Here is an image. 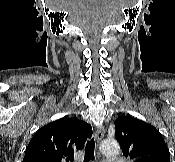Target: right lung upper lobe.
I'll return each instance as SVG.
<instances>
[{"label":"right lung upper lobe","mask_w":175,"mask_h":162,"mask_svg":"<svg viewBox=\"0 0 175 162\" xmlns=\"http://www.w3.org/2000/svg\"><path fill=\"white\" fill-rule=\"evenodd\" d=\"M92 127L77 118L64 117L40 128L29 142L23 162H72L84 147Z\"/></svg>","instance_id":"right-lung-upper-lobe-1"}]
</instances>
